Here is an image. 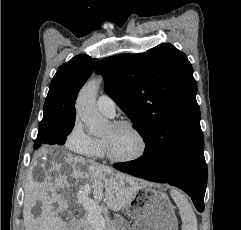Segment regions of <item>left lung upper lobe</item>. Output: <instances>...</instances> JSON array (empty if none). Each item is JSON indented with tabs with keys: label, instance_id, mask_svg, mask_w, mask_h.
<instances>
[{
	"label": "left lung upper lobe",
	"instance_id": "obj_1",
	"mask_svg": "<svg viewBox=\"0 0 241 230\" xmlns=\"http://www.w3.org/2000/svg\"><path fill=\"white\" fill-rule=\"evenodd\" d=\"M105 92L135 125L145 144L161 141L174 160L204 148L197 83L186 55L170 43L146 53L119 54L100 61Z\"/></svg>",
	"mask_w": 241,
	"mask_h": 230
}]
</instances>
